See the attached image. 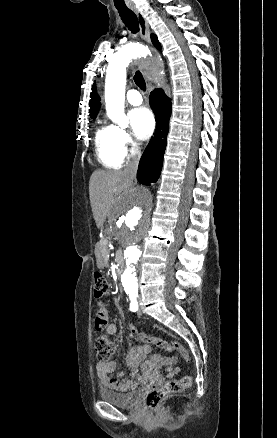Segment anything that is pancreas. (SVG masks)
I'll list each match as a JSON object with an SVG mask.
<instances>
[{"label":"pancreas","mask_w":277,"mask_h":438,"mask_svg":"<svg viewBox=\"0 0 277 438\" xmlns=\"http://www.w3.org/2000/svg\"><path fill=\"white\" fill-rule=\"evenodd\" d=\"M101 238L102 239H97L96 241L97 253H110L112 247L110 246L108 240H111L112 238L111 231H102Z\"/></svg>","instance_id":"pancreas-1"}]
</instances>
